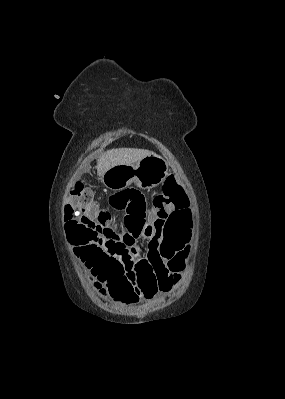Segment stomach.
I'll return each instance as SVG.
<instances>
[{"instance_id":"stomach-1","label":"stomach","mask_w":285,"mask_h":399,"mask_svg":"<svg viewBox=\"0 0 285 399\" xmlns=\"http://www.w3.org/2000/svg\"><path fill=\"white\" fill-rule=\"evenodd\" d=\"M169 165L157 154L144 157L133 165H116L102 176L103 185L113 191H119L135 183L141 189H151L161 184L168 175Z\"/></svg>"}]
</instances>
